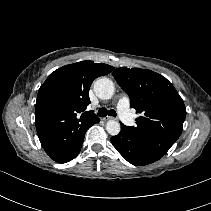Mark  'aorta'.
I'll use <instances>...</instances> for the list:
<instances>
[{
	"mask_svg": "<svg viewBox=\"0 0 211 211\" xmlns=\"http://www.w3.org/2000/svg\"><path fill=\"white\" fill-rule=\"evenodd\" d=\"M115 91L113 82L108 78H100L94 83V92L100 99H110ZM107 132L114 136L120 132V124L115 120H109L106 123Z\"/></svg>",
	"mask_w": 211,
	"mask_h": 211,
	"instance_id": "obj_1",
	"label": "aorta"
}]
</instances>
